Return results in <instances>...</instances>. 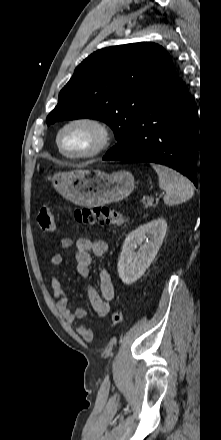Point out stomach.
I'll list each match as a JSON object with an SVG mask.
<instances>
[{
    "label": "stomach",
    "instance_id": "1",
    "mask_svg": "<svg viewBox=\"0 0 221 440\" xmlns=\"http://www.w3.org/2000/svg\"><path fill=\"white\" fill-rule=\"evenodd\" d=\"M51 182L63 197L83 207H96L128 197L135 181L129 171L111 174L98 169L56 173Z\"/></svg>",
    "mask_w": 221,
    "mask_h": 440
}]
</instances>
